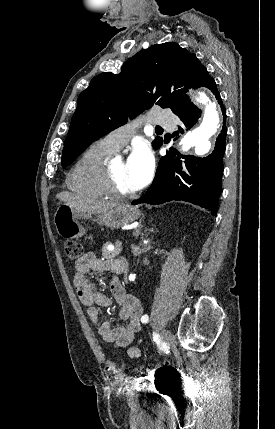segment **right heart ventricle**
<instances>
[{"instance_id": "e07e8e85", "label": "right heart ventricle", "mask_w": 275, "mask_h": 429, "mask_svg": "<svg viewBox=\"0 0 275 429\" xmlns=\"http://www.w3.org/2000/svg\"><path fill=\"white\" fill-rule=\"evenodd\" d=\"M113 152L100 141L89 146L68 176L69 189L91 199L107 198L105 161Z\"/></svg>"}]
</instances>
